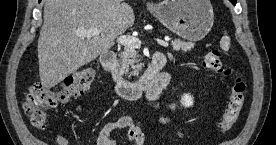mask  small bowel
I'll list each match as a JSON object with an SVG mask.
<instances>
[{"label": "small bowel", "instance_id": "1", "mask_svg": "<svg viewBox=\"0 0 276 145\" xmlns=\"http://www.w3.org/2000/svg\"><path fill=\"white\" fill-rule=\"evenodd\" d=\"M161 92H151L146 94V99L150 104H155L160 96ZM169 111H172V105L168 107ZM163 122H170L173 120L171 115H166L161 118ZM114 130H125L126 139L131 145H144L145 136L142 132L140 125L135 122L130 116H123L116 121L105 123L98 132L96 137V145H117L116 141L111 138V133ZM56 143L58 145H68V140L58 135L56 137Z\"/></svg>", "mask_w": 276, "mask_h": 145}]
</instances>
